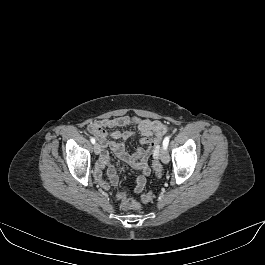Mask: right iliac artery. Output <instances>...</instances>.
<instances>
[{
	"label": "right iliac artery",
	"instance_id": "82829eb1",
	"mask_svg": "<svg viewBox=\"0 0 265 265\" xmlns=\"http://www.w3.org/2000/svg\"><path fill=\"white\" fill-rule=\"evenodd\" d=\"M90 141L92 144H95V138L91 137Z\"/></svg>",
	"mask_w": 265,
	"mask_h": 265
}]
</instances>
